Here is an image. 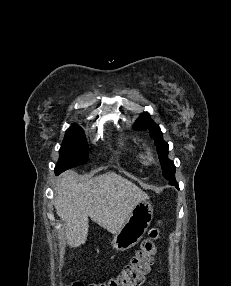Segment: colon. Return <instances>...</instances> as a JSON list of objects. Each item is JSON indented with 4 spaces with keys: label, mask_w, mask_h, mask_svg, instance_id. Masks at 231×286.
<instances>
[{
    "label": "colon",
    "mask_w": 231,
    "mask_h": 286,
    "mask_svg": "<svg viewBox=\"0 0 231 286\" xmlns=\"http://www.w3.org/2000/svg\"><path fill=\"white\" fill-rule=\"evenodd\" d=\"M159 237V228H152L149 232V237L142 242L140 249L133 255L129 263L124 266L118 276L102 283L84 285L80 282H74L71 286H140L154 262V256L157 251L156 241Z\"/></svg>",
    "instance_id": "obj_1"
}]
</instances>
